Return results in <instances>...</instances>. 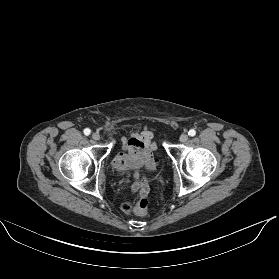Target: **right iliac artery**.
I'll return each instance as SVG.
<instances>
[{"mask_svg":"<svg viewBox=\"0 0 279 279\" xmlns=\"http://www.w3.org/2000/svg\"><path fill=\"white\" fill-rule=\"evenodd\" d=\"M91 133V130L89 128L84 129V134L89 135Z\"/></svg>","mask_w":279,"mask_h":279,"instance_id":"right-iliac-artery-1","label":"right iliac artery"}]
</instances>
